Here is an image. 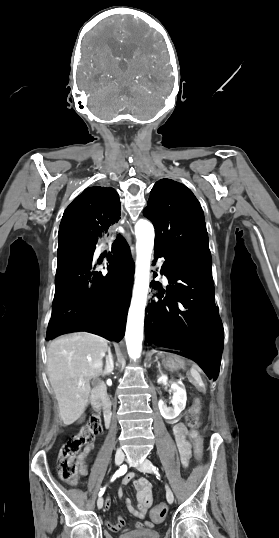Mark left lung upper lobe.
<instances>
[{
	"mask_svg": "<svg viewBox=\"0 0 279 538\" xmlns=\"http://www.w3.org/2000/svg\"><path fill=\"white\" fill-rule=\"evenodd\" d=\"M143 214L155 227L156 248L182 259H211L202 208L183 184L156 182Z\"/></svg>",
	"mask_w": 279,
	"mask_h": 538,
	"instance_id": "obj_1",
	"label": "left lung upper lobe"
}]
</instances>
